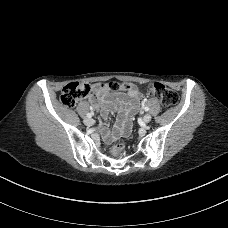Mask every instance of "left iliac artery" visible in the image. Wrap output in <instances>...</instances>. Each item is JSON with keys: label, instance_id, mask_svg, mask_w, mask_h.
Instances as JSON below:
<instances>
[{"label": "left iliac artery", "instance_id": "1", "mask_svg": "<svg viewBox=\"0 0 228 228\" xmlns=\"http://www.w3.org/2000/svg\"><path fill=\"white\" fill-rule=\"evenodd\" d=\"M144 110H145V111H148V110H149V107H148V106H146V107L144 108Z\"/></svg>", "mask_w": 228, "mask_h": 228}]
</instances>
